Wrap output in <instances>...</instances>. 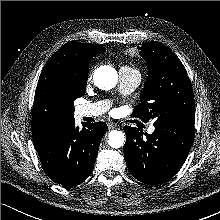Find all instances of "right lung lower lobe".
Masks as SVG:
<instances>
[{"mask_svg":"<svg viewBox=\"0 0 220 220\" xmlns=\"http://www.w3.org/2000/svg\"><path fill=\"white\" fill-rule=\"evenodd\" d=\"M104 122L75 127L69 121L34 140L45 173L66 188L76 186L89 177L93 170L103 135Z\"/></svg>","mask_w":220,"mask_h":220,"instance_id":"98d812e1","label":"right lung lower lobe"}]
</instances>
